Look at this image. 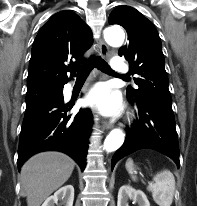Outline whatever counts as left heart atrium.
<instances>
[{
    "label": "left heart atrium",
    "instance_id": "39dd6f15",
    "mask_svg": "<svg viewBox=\"0 0 197 206\" xmlns=\"http://www.w3.org/2000/svg\"><path fill=\"white\" fill-rule=\"evenodd\" d=\"M89 101L96 104L105 114L114 113L119 105L118 98L102 84L92 90Z\"/></svg>",
    "mask_w": 197,
    "mask_h": 206
}]
</instances>
